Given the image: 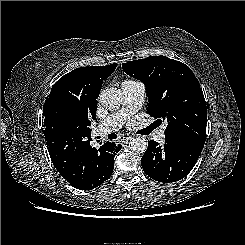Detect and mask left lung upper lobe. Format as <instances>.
Wrapping results in <instances>:
<instances>
[{
    "label": "left lung upper lobe",
    "mask_w": 245,
    "mask_h": 245,
    "mask_svg": "<svg viewBox=\"0 0 245 245\" xmlns=\"http://www.w3.org/2000/svg\"><path fill=\"white\" fill-rule=\"evenodd\" d=\"M122 68L145 84L147 113L158 123L167 121L166 140L205 143L206 103L197 78L186 64L165 56H151L122 63Z\"/></svg>",
    "instance_id": "1"
}]
</instances>
